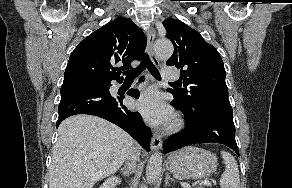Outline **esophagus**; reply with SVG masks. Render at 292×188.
<instances>
[{
    "label": "esophagus",
    "instance_id": "34e87169",
    "mask_svg": "<svg viewBox=\"0 0 292 188\" xmlns=\"http://www.w3.org/2000/svg\"><path fill=\"white\" fill-rule=\"evenodd\" d=\"M156 32L152 27L148 28L147 31V52L152 60V62L159 66V60L154 53V40H155ZM162 146V138L159 134L154 133L151 141V149L156 151L160 149Z\"/></svg>",
    "mask_w": 292,
    "mask_h": 188
}]
</instances>
